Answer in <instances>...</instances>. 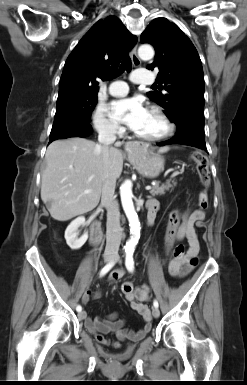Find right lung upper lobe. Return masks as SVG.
Instances as JSON below:
<instances>
[{"label": "right lung upper lobe", "mask_w": 247, "mask_h": 385, "mask_svg": "<svg viewBox=\"0 0 247 385\" xmlns=\"http://www.w3.org/2000/svg\"><path fill=\"white\" fill-rule=\"evenodd\" d=\"M116 16L96 22L66 60L59 93L81 91L97 93L96 78L109 80L117 71L122 54L136 43Z\"/></svg>", "instance_id": "cb5924a9"}]
</instances>
